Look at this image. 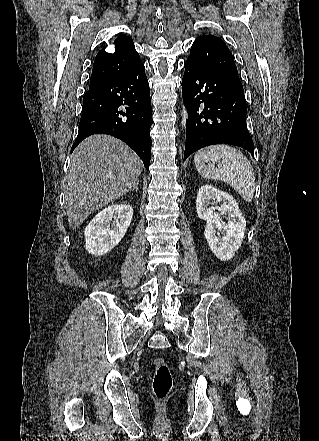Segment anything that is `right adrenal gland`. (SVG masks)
<instances>
[{"mask_svg":"<svg viewBox=\"0 0 319 441\" xmlns=\"http://www.w3.org/2000/svg\"><path fill=\"white\" fill-rule=\"evenodd\" d=\"M138 189H139V181H137V183H136V185H135V187H134L133 190H135L136 192H138Z\"/></svg>","mask_w":319,"mask_h":441,"instance_id":"obj_1","label":"right adrenal gland"}]
</instances>
